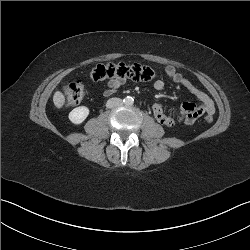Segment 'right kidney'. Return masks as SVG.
I'll return each mask as SVG.
<instances>
[{
  "label": "right kidney",
  "mask_w": 250,
  "mask_h": 250,
  "mask_svg": "<svg viewBox=\"0 0 250 250\" xmlns=\"http://www.w3.org/2000/svg\"><path fill=\"white\" fill-rule=\"evenodd\" d=\"M89 112L88 107H77L69 113V120L74 124H81L87 118Z\"/></svg>",
  "instance_id": "1"
}]
</instances>
